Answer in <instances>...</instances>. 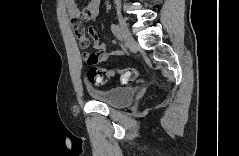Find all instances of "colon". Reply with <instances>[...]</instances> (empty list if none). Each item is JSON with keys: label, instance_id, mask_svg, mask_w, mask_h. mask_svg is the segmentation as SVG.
Wrapping results in <instances>:
<instances>
[{"label": "colon", "instance_id": "5ec220e1", "mask_svg": "<svg viewBox=\"0 0 239 156\" xmlns=\"http://www.w3.org/2000/svg\"><path fill=\"white\" fill-rule=\"evenodd\" d=\"M85 17L86 13L83 11L80 12L79 19H84ZM114 77H117L121 83L127 84L133 82L139 77V70L133 67L124 70L106 69L94 65L91 66L88 71V79L92 84H103L108 79Z\"/></svg>", "mask_w": 239, "mask_h": 156}]
</instances>
